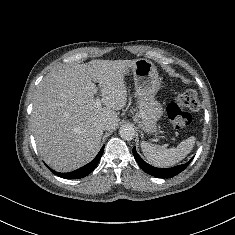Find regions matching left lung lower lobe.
Segmentation results:
<instances>
[{
    "instance_id": "1",
    "label": "left lung lower lobe",
    "mask_w": 235,
    "mask_h": 235,
    "mask_svg": "<svg viewBox=\"0 0 235 235\" xmlns=\"http://www.w3.org/2000/svg\"><path fill=\"white\" fill-rule=\"evenodd\" d=\"M133 155L135 157V160L137 161V163L139 164V166L148 174L155 176V177H159V178H169V177H173L177 174H179L180 172H182L192 161V159L182 165H178L175 166L173 168H169V169H161V168H156L153 167L149 164H147L136 152L135 147L133 148Z\"/></svg>"
}]
</instances>
